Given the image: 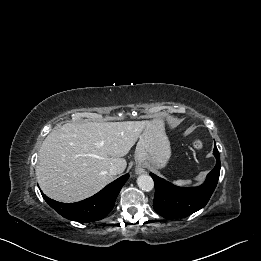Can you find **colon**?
<instances>
[{"label":"colon","mask_w":261,"mask_h":261,"mask_svg":"<svg viewBox=\"0 0 261 261\" xmlns=\"http://www.w3.org/2000/svg\"><path fill=\"white\" fill-rule=\"evenodd\" d=\"M202 147V142L200 140H195L193 143V148L199 150Z\"/></svg>","instance_id":"obj_1"}]
</instances>
